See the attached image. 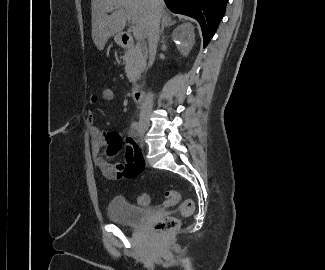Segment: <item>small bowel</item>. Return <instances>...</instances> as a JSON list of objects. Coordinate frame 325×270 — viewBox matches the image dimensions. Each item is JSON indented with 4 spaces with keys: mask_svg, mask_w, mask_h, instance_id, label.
I'll use <instances>...</instances> for the list:
<instances>
[{
    "mask_svg": "<svg viewBox=\"0 0 325 270\" xmlns=\"http://www.w3.org/2000/svg\"><path fill=\"white\" fill-rule=\"evenodd\" d=\"M105 89H112L107 87ZM99 101L97 95L89 97L90 104ZM87 128L91 139V151L95 165L101 170L103 176L111 181L128 180L140 174L144 168V162L135 143L131 139L123 141L122 136L116 132H105L98 127L93 112H89L86 118ZM125 144L128 164L111 163Z\"/></svg>",
    "mask_w": 325,
    "mask_h": 270,
    "instance_id": "1",
    "label": "small bowel"
}]
</instances>
